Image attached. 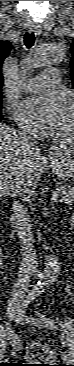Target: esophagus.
Here are the masks:
<instances>
[{"label":"esophagus","mask_w":74,"mask_h":366,"mask_svg":"<svg viewBox=\"0 0 74 366\" xmlns=\"http://www.w3.org/2000/svg\"><path fill=\"white\" fill-rule=\"evenodd\" d=\"M28 30L30 32H34L36 35H39L40 34V30L38 28V26L34 23H32L29 27H28Z\"/></svg>","instance_id":"esophagus-1"}]
</instances>
